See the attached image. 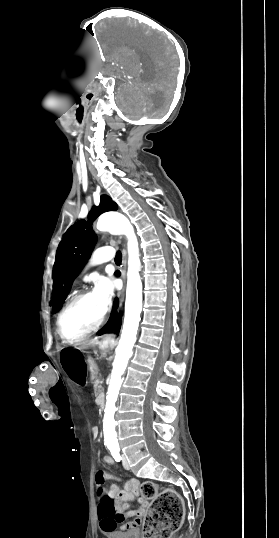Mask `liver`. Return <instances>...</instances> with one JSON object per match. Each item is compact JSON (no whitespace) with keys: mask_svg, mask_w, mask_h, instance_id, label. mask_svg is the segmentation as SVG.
<instances>
[{"mask_svg":"<svg viewBox=\"0 0 279 538\" xmlns=\"http://www.w3.org/2000/svg\"><path fill=\"white\" fill-rule=\"evenodd\" d=\"M97 344H99L98 340H90L85 346H97Z\"/></svg>","mask_w":279,"mask_h":538,"instance_id":"6515ba94","label":"liver"}]
</instances>
